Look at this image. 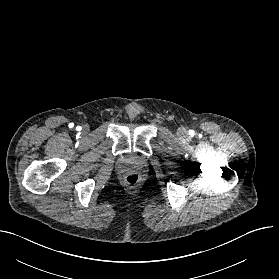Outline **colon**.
I'll return each mask as SVG.
<instances>
[{
    "instance_id": "obj_1",
    "label": "colon",
    "mask_w": 279,
    "mask_h": 279,
    "mask_svg": "<svg viewBox=\"0 0 279 279\" xmlns=\"http://www.w3.org/2000/svg\"><path fill=\"white\" fill-rule=\"evenodd\" d=\"M140 180V177L136 173H130L125 177V182L129 186H135Z\"/></svg>"
}]
</instances>
